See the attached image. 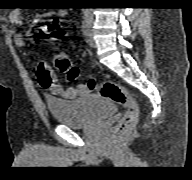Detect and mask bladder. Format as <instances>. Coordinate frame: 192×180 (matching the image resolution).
<instances>
[{"instance_id":"1","label":"bladder","mask_w":192,"mask_h":180,"mask_svg":"<svg viewBox=\"0 0 192 180\" xmlns=\"http://www.w3.org/2000/svg\"><path fill=\"white\" fill-rule=\"evenodd\" d=\"M47 106L56 123L71 128L88 127L113 115L117 110L114 103L99 96L74 100L48 98Z\"/></svg>"}]
</instances>
